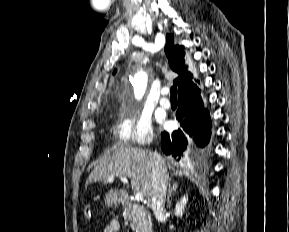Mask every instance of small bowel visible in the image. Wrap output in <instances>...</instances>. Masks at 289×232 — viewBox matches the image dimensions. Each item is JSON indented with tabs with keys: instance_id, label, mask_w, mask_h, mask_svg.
I'll return each instance as SVG.
<instances>
[{
	"instance_id": "small-bowel-1",
	"label": "small bowel",
	"mask_w": 289,
	"mask_h": 232,
	"mask_svg": "<svg viewBox=\"0 0 289 232\" xmlns=\"http://www.w3.org/2000/svg\"><path fill=\"white\" fill-rule=\"evenodd\" d=\"M119 229H120L119 222L114 220L105 226L103 232H118Z\"/></svg>"
}]
</instances>
